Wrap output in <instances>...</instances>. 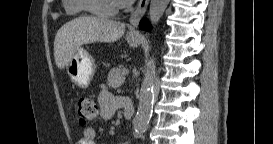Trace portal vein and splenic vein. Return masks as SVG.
Listing matches in <instances>:
<instances>
[{"instance_id":"1","label":"portal vein and splenic vein","mask_w":273,"mask_h":144,"mask_svg":"<svg viewBox=\"0 0 273 144\" xmlns=\"http://www.w3.org/2000/svg\"><path fill=\"white\" fill-rule=\"evenodd\" d=\"M129 74V70L128 69H125L123 72H122V75L123 76H126V75H128Z\"/></svg>"}]
</instances>
